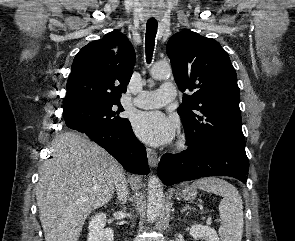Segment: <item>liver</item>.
Segmentation results:
<instances>
[{"instance_id": "6515ba94", "label": "liver", "mask_w": 295, "mask_h": 241, "mask_svg": "<svg viewBox=\"0 0 295 241\" xmlns=\"http://www.w3.org/2000/svg\"><path fill=\"white\" fill-rule=\"evenodd\" d=\"M36 187L45 241H78L90 213L114 193L120 164L103 148L74 132L55 137Z\"/></svg>"}]
</instances>
